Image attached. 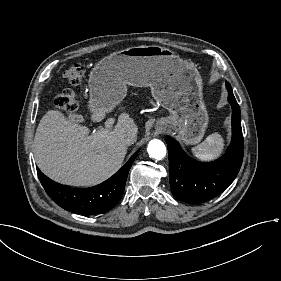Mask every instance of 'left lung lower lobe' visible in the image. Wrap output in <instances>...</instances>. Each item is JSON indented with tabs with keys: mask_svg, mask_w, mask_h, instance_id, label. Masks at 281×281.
<instances>
[{
	"mask_svg": "<svg viewBox=\"0 0 281 281\" xmlns=\"http://www.w3.org/2000/svg\"><path fill=\"white\" fill-rule=\"evenodd\" d=\"M232 107V141L224 156L210 163L187 156L177 141L167 137L169 182L172 194L188 203H203L222 193L236 178L243 160L244 139L240 107L232 90L228 93Z\"/></svg>",
	"mask_w": 281,
	"mask_h": 281,
	"instance_id": "1",
	"label": "left lung lower lobe"
}]
</instances>
